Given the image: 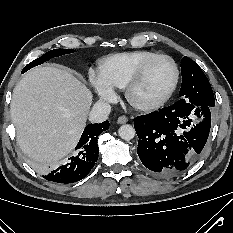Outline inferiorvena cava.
<instances>
[{"instance_id": "1", "label": "inferior vena cava", "mask_w": 233, "mask_h": 233, "mask_svg": "<svg viewBox=\"0 0 233 233\" xmlns=\"http://www.w3.org/2000/svg\"><path fill=\"white\" fill-rule=\"evenodd\" d=\"M110 112H111L110 104L103 101H98L93 105L89 113V120L92 123H101L107 120Z\"/></svg>"}]
</instances>
